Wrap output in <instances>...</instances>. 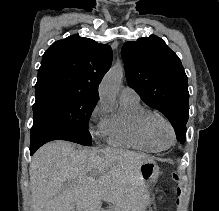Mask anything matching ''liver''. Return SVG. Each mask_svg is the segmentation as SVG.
<instances>
[{"label":"liver","instance_id":"liver-1","mask_svg":"<svg viewBox=\"0 0 219 211\" xmlns=\"http://www.w3.org/2000/svg\"><path fill=\"white\" fill-rule=\"evenodd\" d=\"M149 159L127 149L49 141L29 165L32 211H106L102 199L120 211H144L149 195L139 183V167Z\"/></svg>","mask_w":219,"mask_h":211}]
</instances>
